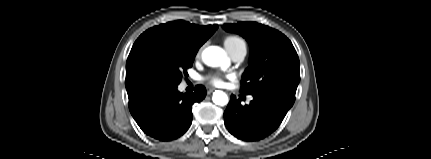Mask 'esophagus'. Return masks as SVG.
I'll list each match as a JSON object with an SVG mask.
<instances>
[{
	"label": "esophagus",
	"mask_w": 431,
	"mask_h": 159,
	"mask_svg": "<svg viewBox=\"0 0 431 159\" xmlns=\"http://www.w3.org/2000/svg\"><path fill=\"white\" fill-rule=\"evenodd\" d=\"M214 90H215L214 88H209V89L207 90V93H208V94H211Z\"/></svg>",
	"instance_id": "1"
}]
</instances>
